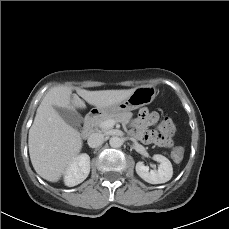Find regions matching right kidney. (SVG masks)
Returning <instances> with one entry per match:
<instances>
[{"label":"right kidney","mask_w":229,"mask_h":229,"mask_svg":"<svg viewBox=\"0 0 229 229\" xmlns=\"http://www.w3.org/2000/svg\"><path fill=\"white\" fill-rule=\"evenodd\" d=\"M90 172V157L87 154L78 155L68 166L64 175L65 185L73 187L82 183Z\"/></svg>","instance_id":"right-kidney-1"}]
</instances>
